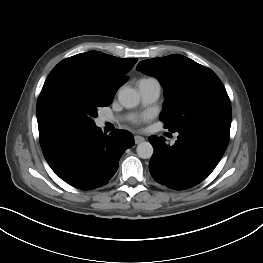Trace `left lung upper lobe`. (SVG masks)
I'll use <instances>...</instances> for the list:
<instances>
[{
  "mask_svg": "<svg viewBox=\"0 0 263 263\" xmlns=\"http://www.w3.org/2000/svg\"><path fill=\"white\" fill-rule=\"evenodd\" d=\"M136 69L157 77L164 87L160 120L170 132L206 121L230 128V100L211 69L180 54L141 61Z\"/></svg>",
  "mask_w": 263,
  "mask_h": 263,
  "instance_id": "1",
  "label": "left lung upper lobe"
}]
</instances>
